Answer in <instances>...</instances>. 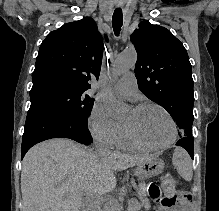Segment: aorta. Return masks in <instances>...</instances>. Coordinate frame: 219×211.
Returning a JSON list of instances; mask_svg holds the SVG:
<instances>
[{
	"label": "aorta",
	"instance_id": "762f6f07",
	"mask_svg": "<svg viewBox=\"0 0 219 211\" xmlns=\"http://www.w3.org/2000/svg\"><path fill=\"white\" fill-rule=\"evenodd\" d=\"M136 60L137 54L135 50H125L117 57L113 67V73L115 75L125 73L135 65ZM104 97L109 115L113 118H119L127 112L128 106L120 102L112 91H106ZM117 206L118 201L113 197L109 198L104 205V211H116Z\"/></svg>",
	"mask_w": 219,
	"mask_h": 211
}]
</instances>
